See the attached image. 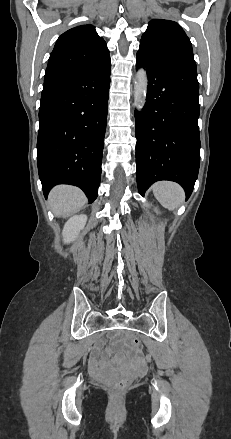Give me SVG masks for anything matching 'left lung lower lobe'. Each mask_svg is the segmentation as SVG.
I'll list each match as a JSON object with an SVG mask.
<instances>
[{
	"instance_id": "0a47b994",
	"label": "left lung lower lobe",
	"mask_w": 231,
	"mask_h": 439,
	"mask_svg": "<svg viewBox=\"0 0 231 439\" xmlns=\"http://www.w3.org/2000/svg\"><path fill=\"white\" fill-rule=\"evenodd\" d=\"M148 75L146 104L135 111L136 178L139 193L154 182L179 183L188 198L200 165L199 83L194 69L159 64L137 54Z\"/></svg>"
}]
</instances>
